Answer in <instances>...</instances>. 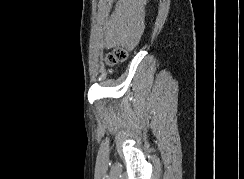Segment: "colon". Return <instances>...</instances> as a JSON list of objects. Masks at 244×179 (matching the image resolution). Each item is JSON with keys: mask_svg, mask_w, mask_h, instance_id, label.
Masks as SVG:
<instances>
[{"mask_svg": "<svg viewBox=\"0 0 244 179\" xmlns=\"http://www.w3.org/2000/svg\"><path fill=\"white\" fill-rule=\"evenodd\" d=\"M127 57V52L122 47H116L108 55L107 61L110 65L123 62Z\"/></svg>", "mask_w": 244, "mask_h": 179, "instance_id": "5ec220e1", "label": "colon"}]
</instances>
